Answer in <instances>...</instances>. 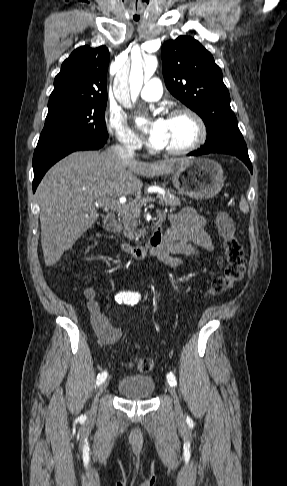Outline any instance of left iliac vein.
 Listing matches in <instances>:
<instances>
[{
  "mask_svg": "<svg viewBox=\"0 0 287 486\" xmlns=\"http://www.w3.org/2000/svg\"><path fill=\"white\" fill-rule=\"evenodd\" d=\"M166 386H167V389H168L169 393L171 394V396L173 397V400H174L175 415L177 417H180L182 415V410H181V407H180V403H179L176 391L174 390V388L169 383H167Z\"/></svg>",
  "mask_w": 287,
  "mask_h": 486,
  "instance_id": "obj_1",
  "label": "left iliac vein"
}]
</instances>
